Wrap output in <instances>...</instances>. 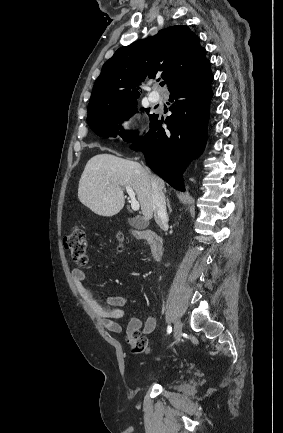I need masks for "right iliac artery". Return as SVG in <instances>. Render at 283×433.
<instances>
[{
  "instance_id": "obj_1",
  "label": "right iliac artery",
  "mask_w": 283,
  "mask_h": 433,
  "mask_svg": "<svg viewBox=\"0 0 283 433\" xmlns=\"http://www.w3.org/2000/svg\"><path fill=\"white\" fill-rule=\"evenodd\" d=\"M172 332V327L170 325H168L167 327V333L170 334Z\"/></svg>"
}]
</instances>
